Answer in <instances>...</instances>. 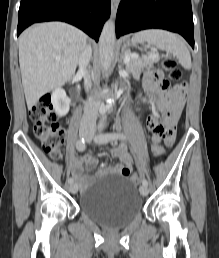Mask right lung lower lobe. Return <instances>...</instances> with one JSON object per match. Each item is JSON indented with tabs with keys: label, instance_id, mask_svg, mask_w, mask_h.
I'll return each instance as SVG.
<instances>
[{
	"label": "right lung lower lobe",
	"instance_id": "right-lung-lower-lobe-1",
	"mask_svg": "<svg viewBox=\"0 0 219 258\" xmlns=\"http://www.w3.org/2000/svg\"><path fill=\"white\" fill-rule=\"evenodd\" d=\"M110 9V0H21L17 36L36 22L64 21L98 41Z\"/></svg>",
	"mask_w": 219,
	"mask_h": 258
}]
</instances>
